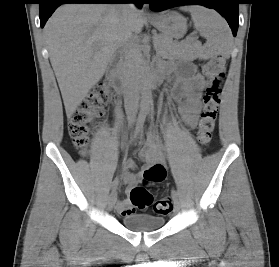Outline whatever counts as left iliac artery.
Returning <instances> with one entry per match:
<instances>
[{
  "mask_svg": "<svg viewBox=\"0 0 279 267\" xmlns=\"http://www.w3.org/2000/svg\"><path fill=\"white\" fill-rule=\"evenodd\" d=\"M171 195H172L173 198H176L177 195H178L177 191L174 188L171 190Z\"/></svg>",
  "mask_w": 279,
  "mask_h": 267,
  "instance_id": "left-iliac-artery-1",
  "label": "left iliac artery"
}]
</instances>
